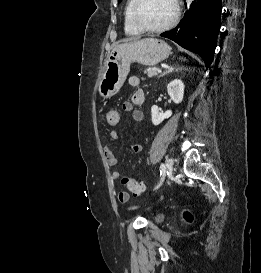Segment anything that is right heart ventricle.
<instances>
[{"instance_id": "right-heart-ventricle-1", "label": "right heart ventricle", "mask_w": 261, "mask_h": 273, "mask_svg": "<svg viewBox=\"0 0 261 273\" xmlns=\"http://www.w3.org/2000/svg\"><path fill=\"white\" fill-rule=\"evenodd\" d=\"M133 4V0H128L126 7H125V11H124V30L126 32V34L128 35H138L140 33V31H138L133 24L131 23L130 20V10H131V6Z\"/></svg>"}]
</instances>
